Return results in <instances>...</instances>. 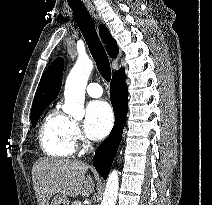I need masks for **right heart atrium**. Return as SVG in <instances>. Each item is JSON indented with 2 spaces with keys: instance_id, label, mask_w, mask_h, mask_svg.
<instances>
[{
  "instance_id": "1",
  "label": "right heart atrium",
  "mask_w": 212,
  "mask_h": 205,
  "mask_svg": "<svg viewBox=\"0 0 212 205\" xmlns=\"http://www.w3.org/2000/svg\"><path fill=\"white\" fill-rule=\"evenodd\" d=\"M71 133L75 143L81 142L83 140L79 126L74 122L71 124Z\"/></svg>"
}]
</instances>
